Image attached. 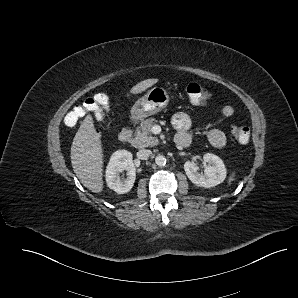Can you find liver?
Listing matches in <instances>:
<instances>
[{
  "mask_svg": "<svg viewBox=\"0 0 298 298\" xmlns=\"http://www.w3.org/2000/svg\"><path fill=\"white\" fill-rule=\"evenodd\" d=\"M156 79L139 82L131 90L139 93L156 83ZM71 163L73 170L82 184L93 192H100L101 152L98 137L94 133L92 118L87 116L74 137L71 146Z\"/></svg>",
  "mask_w": 298,
  "mask_h": 298,
  "instance_id": "liver-1",
  "label": "liver"
}]
</instances>
